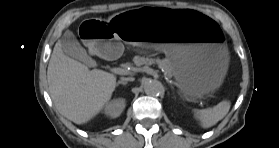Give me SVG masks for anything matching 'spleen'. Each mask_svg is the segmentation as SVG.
I'll return each mask as SVG.
<instances>
[{"mask_svg":"<svg viewBox=\"0 0 279 148\" xmlns=\"http://www.w3.org/2000/svg\"><path fill=\"white\" fill-rule=\"evenodd\" d=\"M230 109L229 101H222L216 106L204 110L194 109V116L203 128H209L222 120Z\"/></svg>","mask_w":279,"mask_h":148,"instance_id":"spleen-1","label":"spleen"}]
</instances>
